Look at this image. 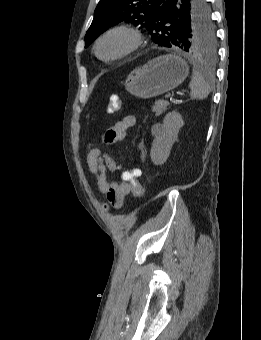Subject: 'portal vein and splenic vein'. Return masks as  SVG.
I'll return each instance as SVG.
<instances>
[{
	"label": "portal vein and splenic vein",
	"instance_id": "18ae733b",
	"mask_svg": "<svg viewBox=\"0 0 261 340\" xmlns=\"http://www.w3.org/2000/svg\"><path fill=\"white\" fill-rule=\"evenodd\" d=\"M167 99L173 100V97L172 96H168Z\"/></svg>",
	"mask_w": 261,
	"mask_h": 340
}]
</instances>
